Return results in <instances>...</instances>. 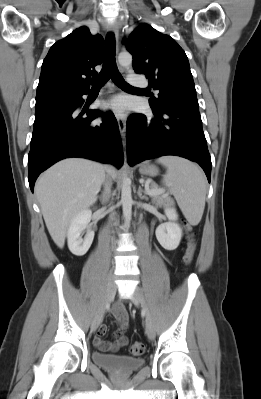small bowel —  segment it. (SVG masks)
I'll list each match as a JSON object with an SVG mask.
<instances>
[{
  "mask_svg": "<svg viewBox=\"0 0 261 399\" xmlns=\"http://www.w3.org/2000/svg\"><path fill=\"white\" fill-rule=\"evenodd\" d=\"M113 316L115 317L118 323V329L115 334V340L109 342L103 339V336L107 332V327L105 325H101L99 327L97 334L94 338L95 346L101 351L112 352L124 348L128 345V338L125 335V332L129 326V319L123 306L116 305L113 308Z\"/></svg>",
  "mask_w": 261,
  "mask_h": 399,
  "instance_id": "small-bowel-1",
  "label": "small bowel"
}]
</instances>
